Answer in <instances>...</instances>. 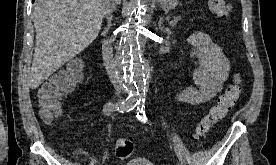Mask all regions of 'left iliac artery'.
Masks as SVG:
<instances>
[{
	"label": "left iliac artery",
	"instance_id": "obj_1",
	"mask_svg": "<svg viewBox=\"0 0 276 165\" xmlns=\"http://www.w3.org/2000/svg\"><path fill=\"white\" fill-rule=\"evenodd\" d=\"M136 116L137 118L145 123L147 122V117H146V114H145V106H144V101L143 100H139L137 101V105H136ZM179 165V164H177Z\"/></svg>",
	"mask_w": 276,
	"mask_h": 165
}]
</instances>
